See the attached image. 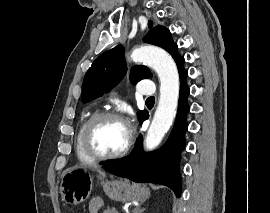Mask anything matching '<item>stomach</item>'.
I'll use <instances>...</instances> for the list:
<instances>
[{"label":"stomach","instance_id":"stomach-1","mask_svg":"<svg viewBox=\"0 0 270 213\" xmlns=\"http://www.w3.org/2000/svg\"><path fill=\"white\" fill-rule=\"evenodd\" d=\"M94 174L91 168H69L62 174L60 193L63 200L70 205H78L91 193ZM103 191L111 199L121 202L145 201L149 198V189L139 184H130L128 180L113 179L100 182Z\"/></svg>","mask_w":270,"mask_h":213}]
</instances>
